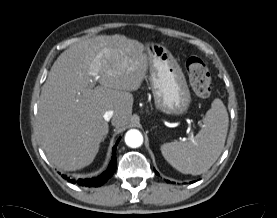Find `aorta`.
Masks as SVG:
<instances>
[{
    "label": "aorta",
    "instance_id": "762f6f07",
    "mask_svg": "<svg viewBox=\"0 0 277 218\" xmlns=\"http://www.w3.org/2000/svg\"><path fill=\"white\" fill-rule=\"evenodd\" d=\"M125 143L131 148L140 147L143 143V136L139 130L131 129L125 135Z\"/></svg>",
    "mask_w": 277,
    "mask_h": 218
}]
</instances>
